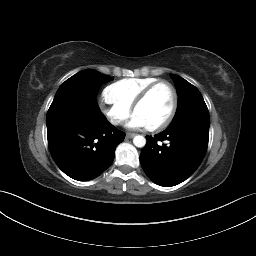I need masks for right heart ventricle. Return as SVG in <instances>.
<instances>
[{"label":"right heart ventricle","mask_w":256,"mask_h":256,"mask_svg":"<svg viewBox=\"0 0 256 256\" xmlns=\"http://www.w3.org/2000/svg\"><path fill=\"white\" fill-rule=\"evenodd\" d=\"M157 81L156 78L122 79L108 86L105 93L110 100L131 108L142 91Z\"/></svg>","instance_id":"e07e8e85"}]
</instances>
